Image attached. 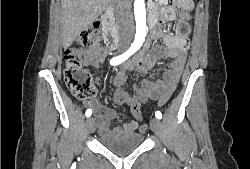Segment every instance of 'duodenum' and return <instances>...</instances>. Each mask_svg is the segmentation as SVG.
Masks as SVG:
<instances>
[{
    "label": "duodenum",
    "mask_w": 250,
    "mask_h": 169,
    "mask_svg": "<svg viewBox=\"0 0 250 169\" xmlns=\"http://www.w3.org/2000/svg\"><path fill=\"white\" fill-rule=\"evenodd\" d=\"M103 23V35L106 44L112 48L116 49L122 45L119 34L115 29L114 21L112 18L111 10H106L102 16Z\"/></svg>",
    "instance_id": "410a0bca"
}]
</instances>
